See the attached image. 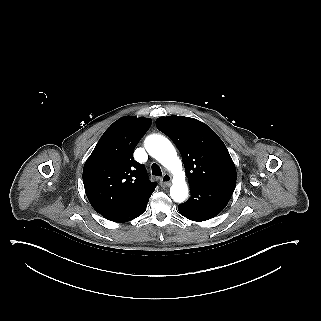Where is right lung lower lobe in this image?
Instances as JSON below:
<instances>
[{
    "mask_svg": "<svg viewBox=\"0 0 321 321\" xmlns=\"http://www.w3.org/2000/svg\"><path fill=\"white\" fill-rule=\"evenodd\" d=\"M150 196L146 199L142 200L138 205L113 216H110L106 219L114 221V222H127L133 220L140 216L146 210V206L148 203Z\"/></svg>",
    "mask_w": 321,
    "mask_h": 321,
    "instance_id": "right-lung-lower-lobe-1",
    "label": "right lung lower lobe"
}]
</instances>
